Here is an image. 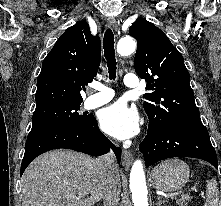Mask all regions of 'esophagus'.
Returning a JSON list of instances; mask_svg holds the SVG:
<instances>
[{
	"label": "esophagus",
	"mask_w": 221,
	"mask_h": 206,
	"mask_svg": "<svg viewBox=\"0 0 221 206\" xmlns=\"http://www.w3.org/2000/svg\"><path fill=\"white\" fill-rule=\"evenodd\" d=\"M108 26L114 30H117L118 24L114 18H108ZM133 156L128 150H123L122 152V165L125 168H129L132 164Z\"/></svg>",
	"instance_id": "obj_1"
}]
</instances>
